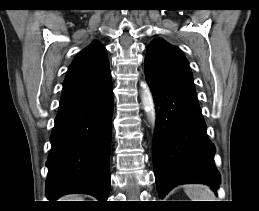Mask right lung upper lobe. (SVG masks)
<instances>
[{
	"mask_svg": "<svg viewBox=\"0 0 259 211\" xmlns=\"http://www.w3.org/2000/svg\"><path fill=\"white\" fill-rule=\"evenodd\" d=\"M112 85L106 49L94 41L69 66L60 106L91 98Z\"/></svg>",
	"mask_w": 259,
	"mask_h": 211,
	"instance_id": "1",
	"label": "right lung upper lobe"
}]
</instances>
